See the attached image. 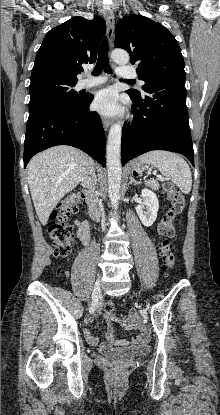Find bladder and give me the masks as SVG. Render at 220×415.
Instances as JSON below:
<instances>
[{
  "instance_id": "31cf9c89",
  "label": "bladder",
  "mask_w": 220,
  "mask_h": 415,
  "mask_svg": "<svg viewBox=\"0 0 220 415\" xmlns=\"http://www.w3.org/2000/svg\"><path fill=\"white\" fill-rule=\"evenodd\" d=\"M149 351V346L138 345L126 348H113L103 352V356L116 361H128L146 354Z\"/></svg>"
}]
</instances>
